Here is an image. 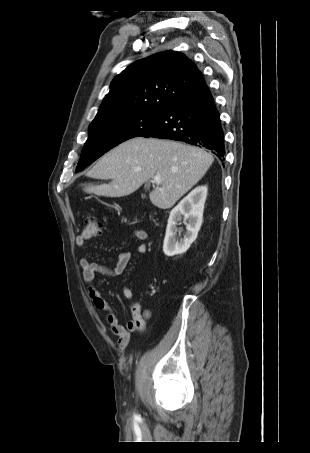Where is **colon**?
Segmentation results:
<instances>
[{"label": "colon", "mask_w": 310, "mask_h": 453, "mask_svg": "<svg viewBox=\"0 0 310 453\" xmlns=\"http://www.w3.org/2000/svg\"><path fill=\"white\" fill-rule=\"evenodd\" d=\"M102 230V223L97 219H90L87 221L82 234L86 238H91Z\"/></svg>", "instance_id": "obj_1"}]
</instances>
